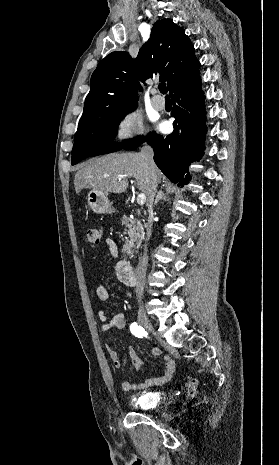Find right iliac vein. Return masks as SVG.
Returning a JSON list of instances; mask_svg holds the SVG:
<instances>
[{"instance_id": "right-iliac-vein-1", "label": "right iliac vein", "mask_w": 279, "mask_h": 465, "mask_svg": "<svg viewBox=\"0 0 279 465\" xmlns=\"http://www.w3.org/2000/svg\"><path fill=\"white\" fill-rule=\"evenodd\" d=\"M137 318L142 327H144L147 331L154 333L153 325L143 309L138 310Z\"/></svg>"}]
</instances>
